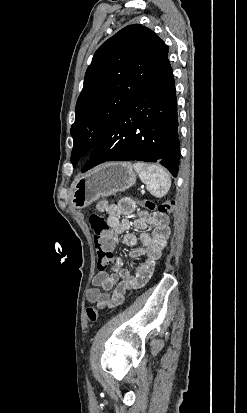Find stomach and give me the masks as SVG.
Instances as JSON below:
<instances>
[{
  "label": "stomach",
  "instance_id": "0dacf381",
  "mask_svg": "<svg viewBox=\"0 0 247 413\" xmlns=\"http://www.w3.org/2000/svg\"><path fill=\"white\" fill-rule=\"evenodd\" d=\"M136 182V172L131 162H104L89 172L78 174L71 184V204L75 209H85L91 202L126 190Z\"/></svg>",
  "mask_w": 247,
  "mask_h": 413
}]
</instances>
